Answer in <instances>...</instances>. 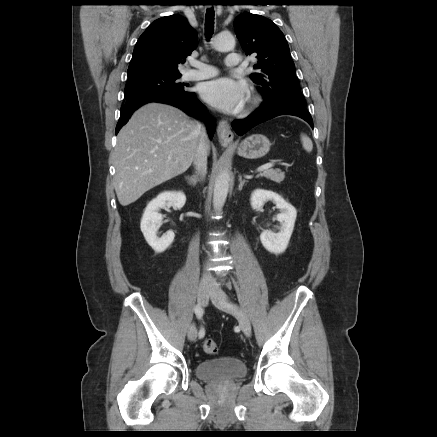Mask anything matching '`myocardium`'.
Wrapping results in <instances>:
<instances>
[{
	"label": "myocardium",
	"mask_w": 437,
	"mask_h": 437,
	"mask_svg": "<svg viewBox=\"0 0 437 437\" xmlns=\"http://www.w3.org/2000/svg\"><path fill=\"white\" fill-rule=\"evenodd\" d=\"M259 99L257 96H252L248 101V107H253L258 103Z\"/></svg>",
	"instance_id": "myocardium-1"
}]
</instances>
